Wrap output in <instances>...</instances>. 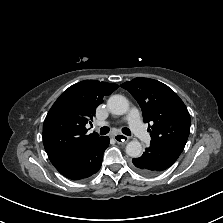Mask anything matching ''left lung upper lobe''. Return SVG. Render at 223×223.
<instances>
[{
  "label": "left lung upper lobe",
  "mask_w": 223,
  "mask_h": 223,
  "mask_svg": "<svg viewBox=\"0 0 223 223\" xmlns=\"http://www.w3.org/2000/svg\"><path fill=\"white\" fill-rule=\"evenodd\" d=\"M138 101L151 142L163 143L183 151L190 132V115L179 98L167 85L138 77L121 85Z\"/></svg>",
  "instance_id": "5c2ea615"
}]
</instances>
